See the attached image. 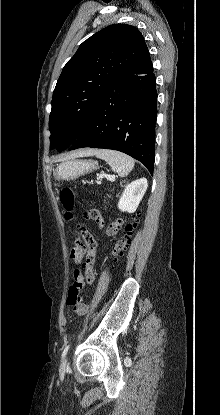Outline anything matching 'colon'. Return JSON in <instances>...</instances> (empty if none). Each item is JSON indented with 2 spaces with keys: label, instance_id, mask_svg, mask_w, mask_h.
<instances>
[{
  "label": "colon",
  "instance_id": "5ec220e1",
  "mask_svg": "<svg viewBox=\"0 0 220 415\" xmlns=\"http://www.w3.org/2000/svg\"><path fill=\"white\" fill-rule=\"evenodd\" d=\"M60 200L66 210V220H71L72 209L75 202L74 192L70 189L63 190L60 195ZM87 217L96 221L100 226H104L102 215L98 209H90L87 212ZM135 226V221L130 222L124 226L123 238L117 240L113 246V254L115 256L120 255L125 249L128 243V239L131 236ZM121 228V219H116L105 227L107 234L110 236L116 235ZM73 232L76 236V240L70 249V257L76 263L84 261L85 271L83 277L78 270L75 271L74 281L69 288L67 304L71 308L77 309L80 314L84 315L88 310V304L84 297L85 287L86 284L91 285L94 282L93 265L96 257V244L86 225H74Z\"/></svg>",
  "mask_w": 220,
  "mask_h": 415
}]
</instances>
